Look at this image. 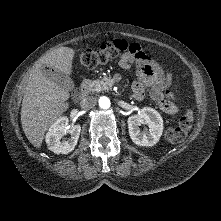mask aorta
I'll list each match as a JSON object with an SVG mask.
<instances>
[{"mask_svg":"<svg viewBox=\"0 0 221 221\" xmlns=\"http://www.w3.org/2000/svg\"><path fill=\"white\" fill-rule=\"evenodd\" d=\"M110 99L106 96H102L99 98V106L102 108V109H107L110 107Z\"/></svg>","mask_w":221,"mask_h":221,"instance_id":"obj_1","label":"aorta"}]
</instances>
